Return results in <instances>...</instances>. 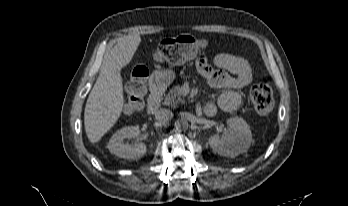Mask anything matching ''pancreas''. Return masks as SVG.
<instances>
[{"label":"pancreas","mask_w":348,"mask_h":206,"mask_svg":"<svg viewBox=\"0 0 348 206\" xmlns=\"http://www.w3.org/2000/svg\"><path fill=\"white\" fill-rule=\"evenodd\" d=\"M182 103H184V99H182L181 87L179 85L170 89L163 102L164 105L171 106L173 108L178 107V105Z\"/></svg>","instance_id":"1"}]
</instances>
